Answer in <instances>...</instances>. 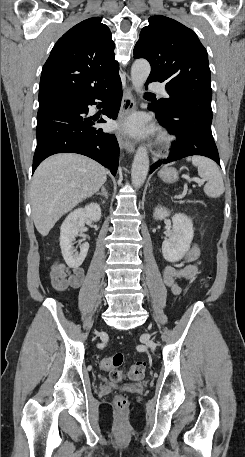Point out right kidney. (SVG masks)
Wrapping results in <instances>:
<instances>
[{
    "mask_svg": "<svg viewBox=\"0 0 245 457\" xmlns=\"http://www.w3.org/2000/svg\"><path fill=\"white\" fill-rule=\"evenodd\" d=\"M101 208L97 202H90L85 208H76L70 212L63 220L60 229V247L62 253L69 257L70 269H78L82 265L89 249V243L80 245V253L72 247V241H75L82 226H85L86 220H100Z\"/></svg>",
    "mask_w": 245,
    "mask_h": 457,
    "instance_id": "obj_1",
    "label": "right kidney"
}]
</instances>
